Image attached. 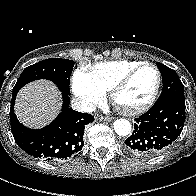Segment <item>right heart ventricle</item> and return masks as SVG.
I'll return each mask as SVG.
<instances>
[{
  "instance_id": "1",
  "label": "right heart ventricle",
  "mask_w": 196,
  "mask_h": 196,
  "mask_svg": "<svg viewBox=\"0 0 196 196\" xmlns=\"http://www.w3.org/2000/svg\"><path fill=\"white\" fill-rule=\"evenodd\" d=\"M143 62L135 60L105 61L93 65L89 74L93 80L106 92L129 70Z\"/></svg>"
}]
</instances>
